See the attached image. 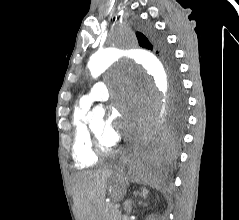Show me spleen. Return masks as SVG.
<instances>
[{
	"label": "spleen",
	"mask_w": 239,
	"mask_h": 220,
	"mask_svg": "<svg viewBox=\"0 0 239 220\" xmlns=\"http://www.w3.org/2000/svg\"><path fill=\"white\" fill-rule=\"evenodd\" d=\"M148 194V190L147 189H143V195H147Z\"/></svg>",
	"instance_id": "1"
}]
</instances>
